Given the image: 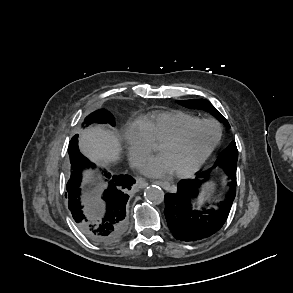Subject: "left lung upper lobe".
<instances>
[{"instance_id": "5c2ea615", "label": "left lung upper lobe", "mask_w": 293, "mask_h": 293, "mask_svg": "<svg viewBox=\"0 0 293 293\" xmlns=\"http://www.w3.org/2000/svg\"><path fill=\"white\" fill-rule=\"evenodd\" d=\"M179 103L185 107L192 109H203L210 112L218 120H220L225 126L230 127L228 121L219 113V111L207 100L194 99V100H182ZM238 150L235 141H232L230 145L219 155L217 164L223 166L225 169L230 167H237Z\"/></svg>"}]
</instances>
